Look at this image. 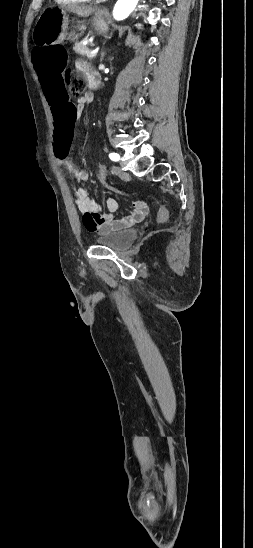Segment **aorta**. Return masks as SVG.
Returning <instances> with one entry per match:
<instances>
[{"mask_svg": "<svg viewBox=\"0 0 253 548\" xmlns=\"http://www.w3.org/2000/svg\"><path fill=\"white\" fill-rule=\"evenodd\" d=\"M139 0H117L114 9L113 17L117 21L126 19L137 6Z\"/></svg>", "mask_w": 253, "mask_h": 548, "instance_id": "1", "label": "aorta"}]
</instances>
